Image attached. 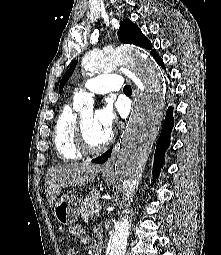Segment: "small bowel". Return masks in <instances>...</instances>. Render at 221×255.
<instances>
[{"label":"small bowel","mask_w":221,"mask_h":255,"mask_svg":"<svg viewBox=\"0 0 221 255\" xmlns=\"http://www.w3.org/2000/svg\"><path fill=\"white\" fill-rule=\"evenodd\" d=\"M69 232H70L71 236H73L75 238H80V237L84 236V234H85V230L81 224H74L73 226L70 227ZM67 255H76V253L74 250H69L67 252Z\"/></svg>","instance_id":"obj_1"}]
</instances>
